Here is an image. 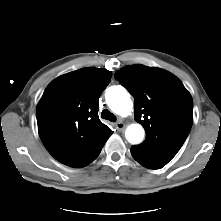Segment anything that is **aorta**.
<instances>
[{
  "label": "aorta",
  "mask_w": 221,
  "mask_h": 221,
  "mask_svg": "<svg viewBox=\"0 0 221 221\" xmlns=\"http://www.w3.org/2000/svg\"><path fill=\"white\" fill-rule=\"evenodd\" d=\"M106 101L113 112L120 116H127L133 109L130 94L122 86H112L106 92ZM144 129L140 124H131L127 127L125 137L131 144H139L144 138Z\"/></svg>",
  "instance_id": "762f6f07"
}]
</instances>
